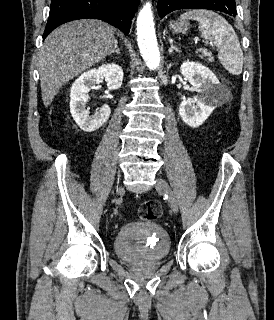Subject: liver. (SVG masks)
Listing matches in <instances>:
<instances>
[{"instance_id": "liver-1", "label": "liver", "mask_w": 274, "mask_h": 320, "mask_svg": "<svg viewBox=\"0 0 274 320\" xmlns=\"http://www.w3.org/2000/svg\"><path fill=\"white\" fill-rule=\"evenodd\" d=\"M114 32L101 20H75L47 36L40 60V86L45 108L60 88L112 54Z\"/></svg>"}]
</instances>
